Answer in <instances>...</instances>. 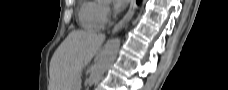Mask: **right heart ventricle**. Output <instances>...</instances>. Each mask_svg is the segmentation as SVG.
Instances as JSON below:
<instances>
[{"label": "right heart ventricle", "instance_id": "right-heart-ventricle-1", "mask_svg": "<svg viewBox=\"0 0 228 90\" xmlns=\"http://www.w3.org/2000/svg\"><path fill=\"white\" fill-rule=\"evenodd\" d=\"M97 2L86 1L82 4L79 11V20L83 27L87 29H99L102 24L97 17Z\"/></svg>", "mask_w": 228, "mask_h": 90}]
</instances>
